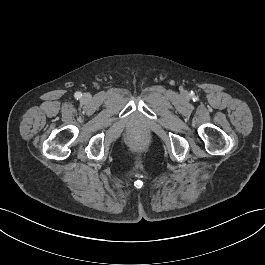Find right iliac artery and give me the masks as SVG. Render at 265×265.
Masks as SVG:
<instances>
[{"label":"right iliac artery","mask_w":265,"mask_h":265,"mask_svg":"<svg viewBox=\"0 0 265 265\" xmlns=\"http://www.w3.org/2000/svg\"><path fill=\"white\" fill-rule=\"evenodd\" d=\"M81 96H82V94L80 92L75 93V98L79 99Z\"/></svg>","instance_id":"obj_1"}]
</instances>
